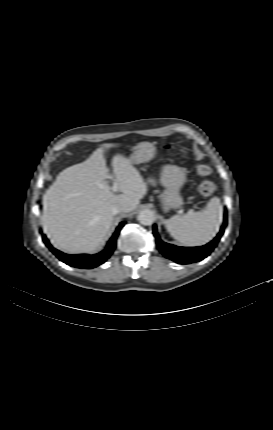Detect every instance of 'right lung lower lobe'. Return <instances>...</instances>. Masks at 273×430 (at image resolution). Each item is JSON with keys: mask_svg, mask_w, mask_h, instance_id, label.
<instances>
[{"mask_svg": "<svg viewBox=\"0 0 273 430\" xmlns=\"http://www.w3.org/2000/svg\"><path fill=\"white\" fill-rule=\"evenodd\" d=\"M125 222L120 223V225L117 227L115 233L113 234L112 238L107 243V246L105 249L95 255H87V254H80V255H68L60 252L59 250L53 248L51 244L49 243L48 239L45 235H43V241L45 245L64 263L67 265L77 267V268H86L91 269L94 267L99 266L103 262H105L113 253L115 247H116V239L117 236L123 227Z\"/></svg>", "mask_w": 273, "mask_h": 430, "instance_id": "98d812e1", "label": "right lung lower lobe"}]
</instances>
